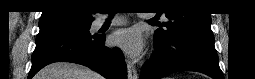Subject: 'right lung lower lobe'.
<instances>
[{"label":"right lung lower lobe","instance_id":"right-lung-lower-lobe-1","mask_svg":"<svg viewBox=\"0 0 255 79\" xmlns=\"http://www.w3.org/2000/svg\"><path fill=\"white\" fill-rule=\"evenodd\" d=\"M104 41L103 34L49 33L37 36L28 79L44 66L59 61L85 65L107 79H126L127 67L122 52L105 47Z\"/></svg>","mask_w":255,"mask_h":79}]
</instances>
